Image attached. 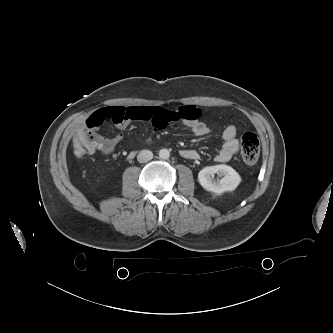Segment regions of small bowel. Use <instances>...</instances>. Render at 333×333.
<instances>
[{"instance_id":"obj_1","label":"small bowel","mask_w":333,"mask_h":333,"mask_svg":"<svg viewBox=\"0 0 333 333\" xmlns=\"http://www.w3.org/2000/svg\"><path fill=\"white\" fill-rule=\"evenodd\" d=\"M107 120L112 121L119 130L126 129L133 120H144L150 121L156 130L164 129L171 123L181 121L195 136H205L209 132L208 127L200 120V110L192 105L177 110L142 106L106 107L89 116L77 131L76 137L83 141L87 154L92 155L99 151L104 155H109L122 140L120 133L112 137H105L97 133ZM222 138L223 144L216 155V160L224 163L231 160L239 152L240 143L236 127L233 125L226 127ZM181 155L186 159H195L197 152L193 149H183Z\"/></svg>"}]
</instances>
